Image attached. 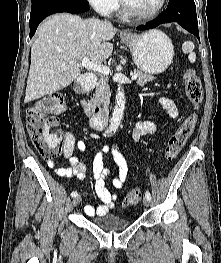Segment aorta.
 <instances>
[{"instance_id":"1","label":"aorta","mask_w":221,"mask_h":263,"mask_svg":"<svg viewBox=\"0 0 221 263\" xmlns=\"http://www.w3.org/2000/svg\"><path fill=\"white\" fill-rule=\"evenodd\" d=\"M125 95L120 86H118L117 94H116V105L114 107L112 117L110 118L109 128L107 133L112 134L115 133L118 129L124 114L125 109Z\"/></svg>"}]
</instances>
